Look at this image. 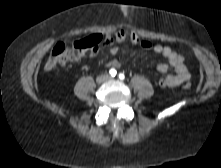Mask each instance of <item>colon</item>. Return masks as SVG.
Here are the masks:
<instances>
[{
    "label": "colon",
    "mask_w": 221,
    "mask_h": 168,
    "mask_svg": "<svg viewBox=\"0 0 221 168\" xmlns=\"http://www.w3.org/2000/svg\"><path fill=\"white\" fill-rule=\"evenodd\" d=\"M127 39L132 44H139L141 37L138 32H129L125 28H118L114 32L101 35H92L86 39L74 42L71 47H67L63 43H58L52 49L51 54L45 63L46 70H53L57 66L64 65L69 61L80 59L88 49H96L98 44L102 42L106 46L115 43L125 42ZM190 84H185L184 89H190Z\"/></svg>",
    "instance_id": "colon-1"
}]
</instances>
